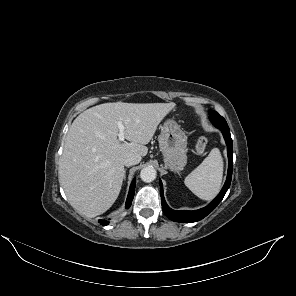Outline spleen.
I'll return each mask as SVG.
<instances>
[{"instance_id": "obj_1", "label": "spleen", "mask_w": 296, "mask_h": 296, "mask_svg": "<svg viewBox=\"0 0 296 296\" xmlns=\"http://www.w3.org/2000/svg\"><path fill=\"white\" fill-rule=\"evenodd\" d=\"M222 177L223 159L219 149L214 148L185 178L184 183L200 199L211 200L220 190Z\"/></svg>"}]
</instances>
